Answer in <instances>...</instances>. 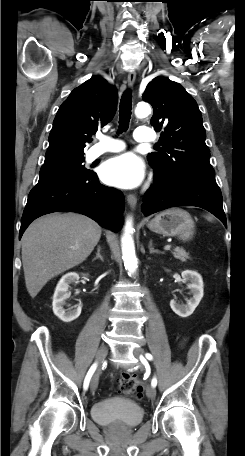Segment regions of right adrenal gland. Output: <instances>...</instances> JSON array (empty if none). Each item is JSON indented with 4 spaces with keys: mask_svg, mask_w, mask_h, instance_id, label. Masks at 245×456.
Here are the masks:
<instances>
[{
    "mask_svg": "<svg viewBox=\"0 0 245 456\" xmlns=\"http://www.w3.org/2000/svg\"><path fill=\"white\" fill-rule=\"evenodd\" d=\"M96 259H100L101 261L104 260L102 254H101V246L100 245L97 246V253H96V256H95L94 260H96Z\"/></svg>",
    "mask_w": 245,
    "mask_h": 456,
    "instance_id": "obj_1",
    "label": "right adrenal gland"
}]
</instances>
